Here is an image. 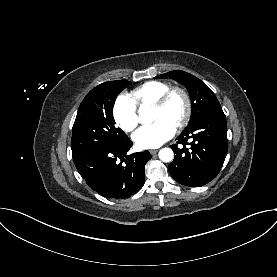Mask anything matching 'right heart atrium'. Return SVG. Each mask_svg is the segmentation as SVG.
I'll return each mask as SVG.
<instances>
[{
  "label": "right heart atrium",
  "mask_w": 277,
  "mask_h": 277,
  "mask_svg": "<svg viewBox=\"0 0 277 277\" xmlns=\"http://www.w3.org/2000/svg\"><path fill=\"white\" fill-rule=\"evenodd\" d=\"M116 124L126 132H131L138 124V112L134 101L126 94H120L112 108Z\"/></svg>",
  "instance_id": "right-heart-atrium-1"
}]
</instances>
